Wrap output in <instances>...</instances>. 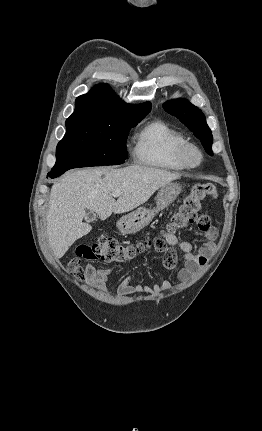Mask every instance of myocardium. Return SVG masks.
<instances>
[{
	"label": "myocardium",
	"instance_id": "obj_1",
	"mask_svg": "<svg viewBox=\"0 0 262 431\" xmlns=\"http://www.w3.org/2000/svg\"><path fill=\"white\" fill-rule=\"evenodd\" d=\"M177 156L179 161L187 169H195L200 167L203 160V154L201 150L195 144L190 142L183 144L179 148Z\"/></svg>",
	"mask_w": 262,
	"mask_h": 431
}]
</instances>
